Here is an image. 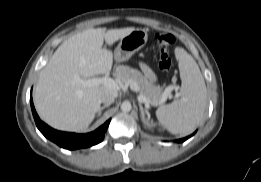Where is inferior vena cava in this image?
Returning a JSON list of instances; mask_svg holds the SVG:
<instances>
[{"label":"inferior vena cava","mask_w":261,"mask_h":182,"mask_svg":"<svg viewBox=\"0 0 261 182\" xmlns=\"http://www.w3.org/2000/svg\"><path fill=\"white\" fill-rule=\"evenodd\" d=\"M115 97L111 94H105L101 97V102L105 105H111L114 102Z\"/></svg>","instance_id":"1"}]
</instances>
